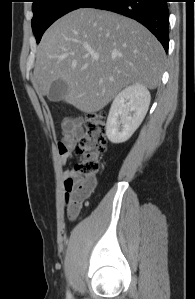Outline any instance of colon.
I'll use <instances>...</instances> for the list:
<instances>
[{
	"label": "colon",
	"instance_id": "5ec220e1",
	"mask_svg": "<svg viewBox=\"0 0 195 299\" xmlns=\"http://www.w3.org/2000/svg\"><path fill=\"white\" fill-rule=\"evenodd\" d=\"M106 124L102 113H92L84 124L76 153L78 162L74 167V178L66 192V211L70 216L80 213L102 170L101 156L106 150Z\"/></svg>",
	"mask_w": 195,
	"mask_h": 299
}]
</instances>
